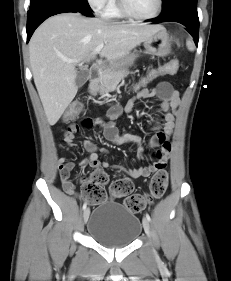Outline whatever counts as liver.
<instances>
[{"instance_id":"liver-1","label":"liver","mask_w":231,"mask_h":281,"mask_svg":"<svg viewBox=\"0 0 231 281\" xmlns=\"http://www.w3.org/2000/svg\"><path fill=\"white\" fill-rule=\"evenodd\" d=\"M164 29L160 25L136 26L63 13L44 21L30 43V64L34 83L48 123L54 125L77 93L76 65L100 52L110 64L129 55L145 39ZM68 60H78L68 62Z\"/></svg>"}]
</instances>
